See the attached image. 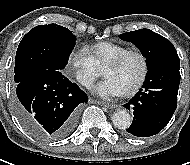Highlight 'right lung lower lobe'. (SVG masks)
<instances>
[{"label": "right lung lower lobe", "mask_w": 190, "mask_h": 165, "mask_svg": "<svg viewBox=\"0 0 190 165\" xmlns=\"http://www.w3.org/2000/svg\"><path fill=\"white\" fill-rule=\"evenodd\" d=\"M15 111L23 126L41 140L62 139L75 129L79 105L88 96L59 70L36 72L16 86Z\"/></svg>", "instance_id": "right-lung-lower-lobe-1"}]
</instances>
